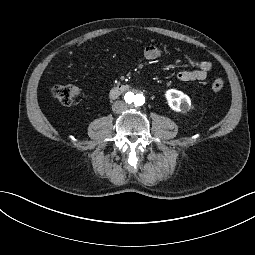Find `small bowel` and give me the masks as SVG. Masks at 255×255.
Returning <instances> with one entry per match:
<instances>
[{
  "label": "small bowel",
  "instance_id": "1",
  "mask_svg": "<svg viewBox=\"0 0 255 255\" xmlns=\"http://www.w3.org/2000/svg\"><path fill=\"white\" fill-rule=\"evenodd\" d=\"M166 55L165 50L155 45H148L144 49V57L147 60H157ZM191 69L183 70L178 73L181 81H201L207 77L212 68L211 62L207 60H189Z\"/></svg>",
  "mask_w": 255,
  "mask_h": 255
}]
</instances>
